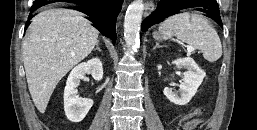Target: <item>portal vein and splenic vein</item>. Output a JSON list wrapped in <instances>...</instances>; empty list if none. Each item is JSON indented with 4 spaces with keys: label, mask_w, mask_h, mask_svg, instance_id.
Returning a JSON list of instances; mask_svg holds the SVG:
<instances>
[{
    "label": "portal vein and splenic vein",
    "mask_w": 257,
    "mask_h": 130,
    "mask_svg": "<svg viewBox=\"0 0 257 130\" xmlns=\"http://www.w3.org/2000/svg\"><path fill=\"white\" fill-rule=\"evenodd\" d=\"M193 49L192 48H189L188 51L191 52Z\"/></svg>",
    "instance_id": "portal-vein-and-splenic-vein-1"
}]
</instances>
